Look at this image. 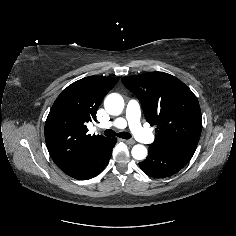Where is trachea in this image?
Returning a JSON list of instances; mask_svg holds the SVG:
<instances>
[{
	"instance_id": "3493384b",
	"label": "trachea",
	"mask_w": 236,
	"mask_h": 236,
	"mask_svg": "<svg viewBox=\"0 0 236 236\" xmlns=\"http://www.w3.org/2000/svg\"><path fill=\"white\" fill-rule=\"evenodd\" d=\"M103 134L105 136H108V137L118 136V137L123 138V139H129V138L132 137L131 134H129L128 132L116 133L112 129H106Z\"/></svg>"
}]
</instances>
